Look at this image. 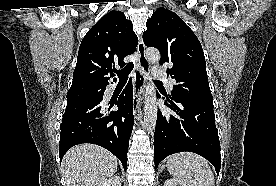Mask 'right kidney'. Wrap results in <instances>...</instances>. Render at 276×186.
<instances>
[{
    "mask_svg": "<svg viewBox=\"0 0 276 186\" xmlns=\"http://www.w3.org/2000/svg\"><path fill=\"white\" fill-rule=\"evenodd\" d=\"M102 186H121V179L116 175L106 181Z\"/></svg>",
    "mask_w": 276,
    "mask_h": 186,
    "instance_id": "obj_1",
    "label": "right kidney"
}]
</instances>
